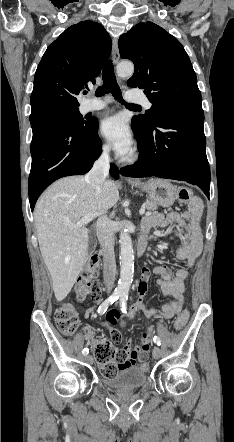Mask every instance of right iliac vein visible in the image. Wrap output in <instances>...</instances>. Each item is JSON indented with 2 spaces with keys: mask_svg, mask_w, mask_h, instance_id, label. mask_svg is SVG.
I'll list each match as a JSON object with an SVG mask.
<instances>
[{
  "mask_svg": "<svg viewBox=\"0 0 234 442\" xmlns=\"http://www.w3.org/2000/svg\"><path fill=\"white\" fill-rule=\"evenodd\" d=\"M86 361L88 362V363H92L93 362V358H92V356L91 355H86Z\"/></svg>",
  "mask_w": 234,
  "mask_h": 442,
  "instance_id": "63e3f726",
  "label": "right iliac vein"
}]
</instances>
